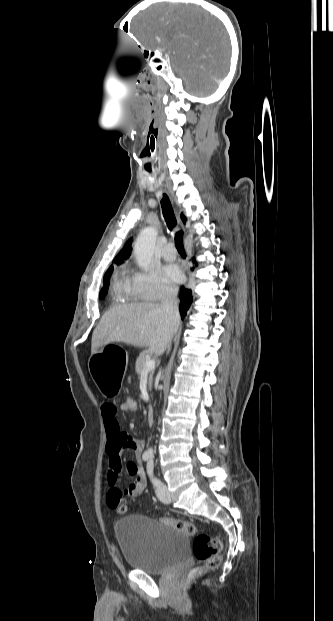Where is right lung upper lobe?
<instances>
[{"instance_id": "right-lung-upper-lobe-1", "label": "right lung upper lobe", "mask_w": 333, "mask_h": 621, "mask_svg": "<svg viewBox=\"0 0 333 621\" xmlns=\"http://www.w3.org/2000/svg\"><path fill=\"white\" fill-rule=\"evenodd\" d=\"M181 219L182 221L185 223L186 217L181 214ZM131 238L126 242L125 246L123 247V249L119 252V254L115 257L114 262L116 264L121 263L123 260L127 259L130 256L131 253ZM113 267V266H111Z\"/></svg>"}]
</instances>
